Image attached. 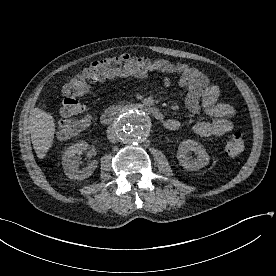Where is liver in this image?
Listing matches in <instances>:
<instances>
[{"mask_svg": "<svg viewBox=\"0 0 276 276\" xmlns=\"http://www.w3.org/2000/svg\"><path fill=\"white\" fill-rule=\"evenodd\" d=\"M31 140L39 159H43L53 144L55 122L53 116L40 108H34L29 118Z\"/></svg>", "mask_w": 276, "mask_h": 276, "instance_id": "obj_1", "label": "liver"}]
</instances>
